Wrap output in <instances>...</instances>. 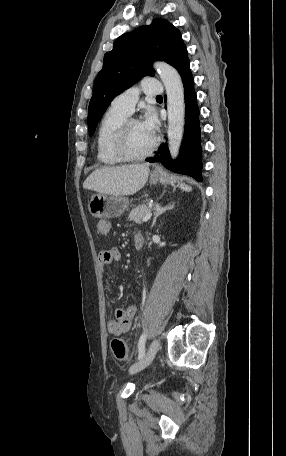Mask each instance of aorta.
<instances>
[{
    "label": "aorta",
    "mask_w": 286,
    "mask_h": 456,
    "mask_svg": "<svg viewBox=\"0 0 286 456\" xmlns=\"http://www.w3.org/2000/svg\"><path fill=\"white\" fill-rule=\"evenodd\" d=\"M154 68L158 71L167 94L168 112V145L172 158L179 152L183 137L185 100L184 87L178 71L165 62H157Z\"/></svg>",
    "instance_id": "762f6f07"
}]
</instances>
